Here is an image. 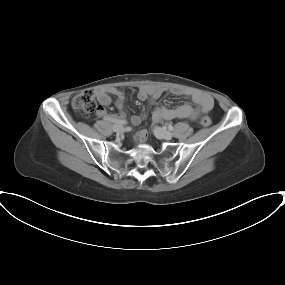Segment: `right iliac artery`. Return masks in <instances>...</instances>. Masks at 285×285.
I'll return each instance as SVG.
<instances>
[{
  "label": "right iliac artery",
  "mask_w": 285,
  "mask_h": 285,
  "mask_svg": "<svg viewBox=\"0 0 285 285\" xmlns=\"http://www.w3.org/2000/svg\"><path fill=\"white\" fill-rule=\"evenodd\" d=\"M113 122L116 124H126L127 123L126 121H113Z\"/></svg>",
  "instance_id": "obj_1"
}]
</instances>
